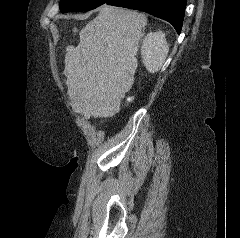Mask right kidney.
<instances>
[{
    "label": "right kidney",
    "mask_w": 240,
    "mask_h": 238,
    "mask_svg": "<svg viewBox=\"0 0 240 238\" xmlns=\"http://www.w3.org/2000/svg\"><path fill=\"white\" fill-rule=\"evenodd\" d=\"M168 44L162 31L148 33L142 43L141 55L143 64L150 73H155L162 67L167 54Z\"/></svg>",
    "instance_id": "ca27d5eb"
}]
</instances>
